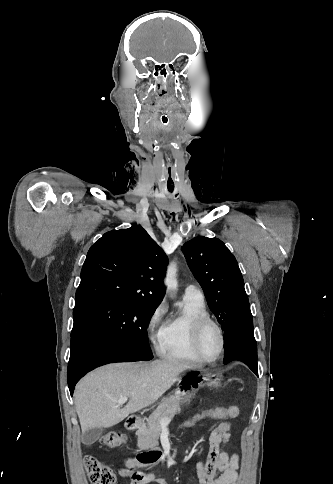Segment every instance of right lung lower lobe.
I'll list each match as a JSON object with an SVG mask.
<instances>
[{
    "label": "right lung lower lobe",
    "instance_id": "obj_1",
    "mask_svg": "<svg viewBox=\"0 0 333 484\" xmlns=\"http://www.w3.org/2000/svg\"><path fill=\"white\" fill-rule=\"evenodd\" d=\"M70 349L67 380L71 395L79 379L92 369L111 362L138 361L119 340L85 320L74 322Z\"/></svg>",
    "mask_w": 333,
    "mask_h": 484
}]
</instances>
